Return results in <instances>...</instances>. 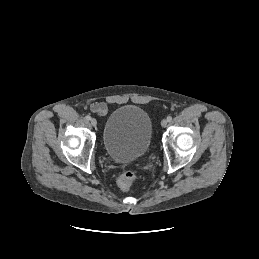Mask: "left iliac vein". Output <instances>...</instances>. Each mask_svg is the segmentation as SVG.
Masks as SVG:
<instances>
[{
  "mask_svg": "<svg viewBox=\"0 0 259 259\" xmlns=\"http://www.w3.org/2000/svg\"><path fill=\"white\" fill-rule=\"evenodd\" d=\"M167 124H168V121L166 120V119H163L162 121H161V126L162 127H166L167 126Z\"/></svg>",
  "mask_w": 259,
  "mask_h": 259,
  "instance_id": "1",
  "label": "left iliac vein"
}]
</instances>
